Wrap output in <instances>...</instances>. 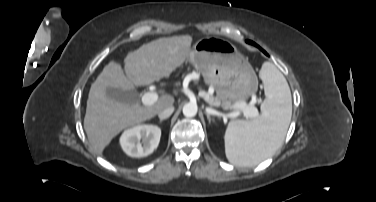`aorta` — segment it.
<instances>
[{
  "mask_svg": "<svg viewBox=\"0 0 376 202\" xmlns=\"http://www.w3.org/2000/svg\"><path fill=\"white\" fill-rule=\"evenodd\" d=\"M182 111H183L184 116H186V117H194L197 114V111H198L197 104L196 103H192V102L186 103L183 106V110Z\"/></svg>",
  "mask_w": 376,
  "mask_h": 202,
  "instance_id": "aorta-1",
  "label": "aorta"
}]
</instances>
